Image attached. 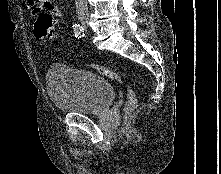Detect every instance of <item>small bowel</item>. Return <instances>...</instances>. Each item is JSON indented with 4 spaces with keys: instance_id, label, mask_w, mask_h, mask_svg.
<instances>
[{
    "instance_id": "1",
    "label": "small bowel",
    "mask_w": 221,
    "mask_h": 174,
    "mask_svg": "<svg viewBox=\"0 0 221 174\" xmlns=\"http://www.w3.org/2000/svg\"><path fill=\"white\" fill-rule=\"evenodd\" d=\"M28 9L37 14H50L52 17L63 18L62 11L53 3L52 0H25Z\"/></svg>"
}]
</instances>
